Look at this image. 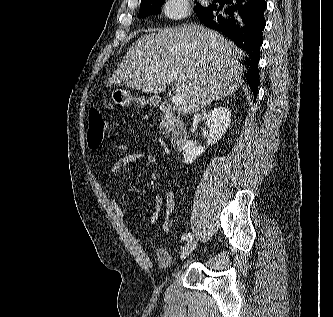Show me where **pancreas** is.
I'll return each instance as SVG.
<instances>
[{
    "mask_svg": "<svg viewBox=\"0 0 333 317\" xmlns=\"http://www.w3.org/2000/svg\"><path fill=\"white\" fill-rule=\"evenodd\" d=\"M161 133L164 134V135H167V134L169 133V130H168V129H165V130H163Z\"/></svg>",
    "mask_w": 333,
    "mask_h": 317,
    "instance_id": "pancreas-1",
    "label": "pancreas"
}]
</instances>
